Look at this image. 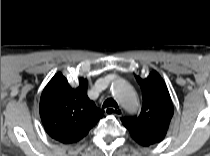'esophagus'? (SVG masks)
<instances>
[{"label": "esophagus", "instance_id": "esophagus-1", "mask_svg": "<svg viewBox=\"0 0 210 156\" xmlns=\"http://www.w3.org/2000/svg\"><path fill=\"white\" fill-rule=\"evenodd\" d=\"M112 110H114L112 107H107V108H105V113L106 114H111ZM116 114L118 116L122 115L123 114V110L121 108H118Z\"/></svg>", "mask_w": 210, "mask_h": 156}]
</instances>
